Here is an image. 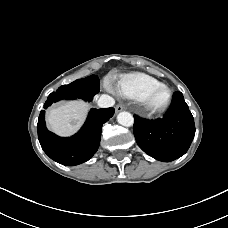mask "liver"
<instances>
[{
    "instance_id": "obj_1",
    "label": "liver",
    "mask_w": 228,
    "mask_h": 228,
    "mask_svg": "<svg viewBox=\"0 0 228 228\" xmlns=\"http://www.w3.org/2000/svg\"><path fill=\"white\" fill-rule=\"evenodd\" d=\"M89 107L84 101H73L53 108L47 114L48 125L56 134L70 136L83 124Z\"/></svg>"
}]
</instances>
